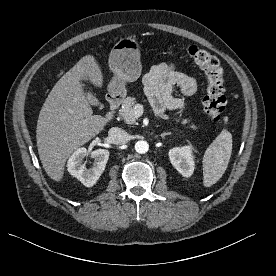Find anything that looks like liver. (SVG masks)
<instances>
[{"instance_id": "liver-1", "label": "liver", "mask_w": 276, "mask_h": 276, "mask_svg": "<svg viewBox=\"0 0 276 276\" xmlns=\"http://www.w3.org/2000/svg\"><path fill=\"white\" fill-rule=\"evenodd\" d=\"M81 80L99 88L103 85V73L92 55L82 57L58 80L37 121L38 154L47 175L57 182L63 178L68 157L107 124L101 115H93Z\"/></svg>"}]
</instances>
